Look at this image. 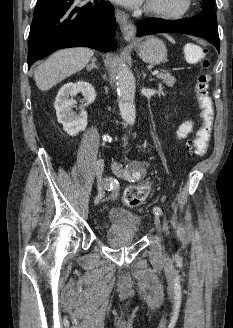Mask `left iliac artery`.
<instances>
[{"label": "left iliac artery", "instance_id": "1", "mask_svg": "<svg viewBox=\"0 0 233 328\" xmlns=\"http://www.w3.org/2000/svg\"><path fill=\"white\" fill-rule=\"evenodd\" d=\"M132 176H133V181H134V179H140L141 178V174L139 173V172H134L133 174H132ZM153 212H154V214L155 215H162V210H161V208H159V207H154L153 208Z\"/></svg>", "mask_w": 233, "mask_h": 328}]
</instances>
